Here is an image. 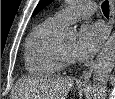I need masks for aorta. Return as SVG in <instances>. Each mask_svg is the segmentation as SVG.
I'll list each match as a JSON object with an SVG mask.
<instances>
[{"label":"aorta","instance_id":"1","mask_svg":"<svg viewBox=\"0 0 115 99\" xmlns=\"http://www.w3.org/2000/svg\"><path fill=\"white\" fill-rule=\"evenodd\" d=\"M70 32H63V37L70 36ZM115 65V32L105 43L102 51L98 55L93 72V99H104L106 96L107 82L110 73Z\"/></svg>","mask_w":115,"mask_h":99}]
</instances>
